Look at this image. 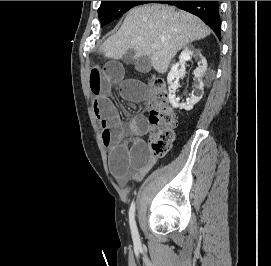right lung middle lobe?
I'll list each match as a JSON object with an SVG mask.
<instances>
[{
	"instance_id": "right-lung-middle-lobe-1",
	"label": "right lung middle lobe",
	"mask_w": 271,
	"mask_h": 266,
	"mask_svg": "<svg viewBox=\"0 0 271 266\" xmlns=\"http://www.w3.org/2000/svg\"><path fill=\"white\" fill-rule=\"evenodd\" d=\"M145 3H151V1H102L100 8L98 9L101 26H104L115 19H119L131 8Z\"/></svg>"
}]
</instances>
